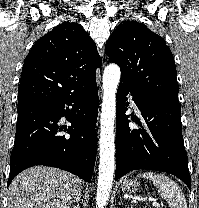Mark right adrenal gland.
Here are the masks:
<instances>
[{"label": "right adrenal gland", "instance_id": "1", "mask_svg": "<svg viewBox=\"0 0 199 208\" xmlns=\"http://www.w3.org/2000/svg\"><path fill=\"white\" fill-rule=\"evenodd\" d=\"M73 208H80V207H79V204L76 203V204L73 206Z\"/></svg>", "mask_w": 199, "mask_h": 208}]
</instances>
